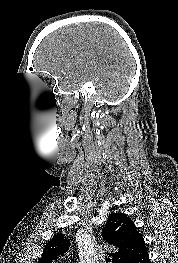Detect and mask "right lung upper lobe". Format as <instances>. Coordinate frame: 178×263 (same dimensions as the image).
I'll list each match as a JSON object with an SVG mask.
<instances>
[{
	"label": "right lung upper lobe",
	"instance_id": "cb5924a9",
	"mask_svg": "<svg viewBox=\"0 0 178 263\" xmlns=\"http://www.w3.org/2000/svg\"><path fill=\"white\" fill-rule=\"evenodd\" d=\"M102 237L117 250L109 254L112 256V263H133L147 250L142 235L131 219L123 213H112L108 216L107 223L102 229ZM67 251L66 239L58 233L45 245L38 263H52Z\"/></svg>",
	"mask_w": 178,
	"mask_h": 263
}]
</instances>
